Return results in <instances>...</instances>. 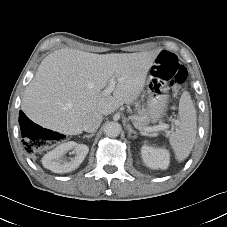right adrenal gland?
<instances>
[{
	"label": "right adrenal gland",
	"mask_w": 227,
	"mask_h": 227,
	"mask_svg": "<svg viewBox=\"0 0 227 227\" xmlns=\"http://www.w3.org/2000/svg\"><path fill=\"white\" fill-rule=\"evenodd\" d=\"M94 136V133L92 134H86L83 136V138H92Z\"/></svg>",
	"instance_id": "1"
}]
</instances>
